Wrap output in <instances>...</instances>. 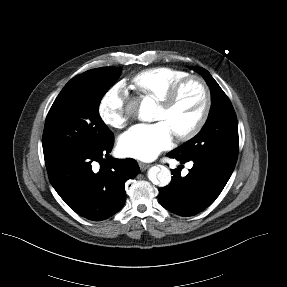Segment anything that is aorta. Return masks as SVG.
I'll return each mask as SVG.
<instances>
[{
	"label": "aorta",
	"mask_w": 287,
	"mask_h": 287,
	"mask_svg": "<svg viewBox=\"0 0 287 287\" xmlns=\"http://www.w3.org/2000/svg\"><path fill=\"white\" fill-rule=\"evenodd\" d=\"M155 102L150 98H144L139 106V117L143 121H150L152 118L153 110L155 109ZM134 105H129L133 108ZM171 172L165 166H153L148 170L149 180L161 187L167 186L171 182Z\"/></svg>",
	"instance_id": "aorta-1"
}]
</instances>
